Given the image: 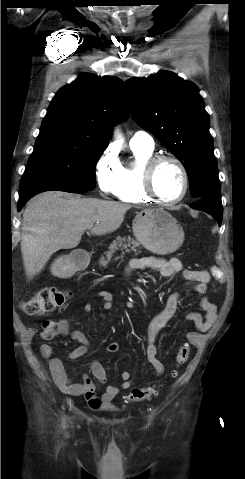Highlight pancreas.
<instances>
[{
	"label": "pancreas",
	"instance_id": "obj_1",
	"mask_svg": "<svg viewBox=\"0 0 245 479\" xmlns=\"http://www.w3.org/2000/svg\"><path fill=\"white\" fill-rule=\"evenodd\" d=\"M139 245H140L139 242L131 238L130 236H128L127 238L118 236L116 240H114L110 244L109 250L104 252L105 256H101L99 264L104 267L107 266V264L110 262L111 258L113 257L114 253L119 248L125 249L127 252H130L132 250L135 253H137L136 248L139 247Z\"/></svg>",
	"mask_w": 245,
	"mask_h": 479
}]
</instances>
